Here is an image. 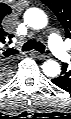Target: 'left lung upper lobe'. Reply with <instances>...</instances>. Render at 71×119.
Returning <instances> with one entry per match:
<instances>
[{"label": "left lung upper lobe", "instance_id": "obj_1", "mask_svg": "<svg viewBox=\"0 0 71 119\" xmlns=\"http://www.w3.org/2000/svg\"><path fill=\"white\" fill-rule=\"evenodd\" d=\"M58 17L66 31V37L71 38V0H41Z\"/></svg>", "mask_w": 71, "mask_h": 119}]
</instances>
